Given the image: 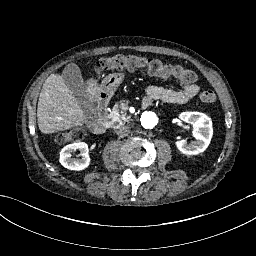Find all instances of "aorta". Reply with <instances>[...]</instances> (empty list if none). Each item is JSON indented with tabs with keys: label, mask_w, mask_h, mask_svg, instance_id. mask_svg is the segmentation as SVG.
Wrapping results in <instances>:
<instances>
[{
	"label": "aorta",
	"mask_w": 256,
	"mask_h": 256,
	"mask_svg": "<svg viewBox=\"0 0 256 256\" xmlns=\"http://www.w3.org/2000/svg\"><path fill=\"white\" fill-rule=\"evenodd\" d=\"M141 124L145 128H152L156 124V117L152 113H145L141 117Z\"/></svg>",
	"instance_id": "1"
}]
</instances>
